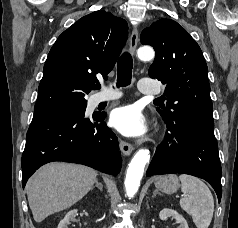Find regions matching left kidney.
<instances>
[{"label": "left kidney", "mask_w": 238, "mask_h": 228, "mask_svg": "<svg viewBox=\"0 0 238 228\" xmlns=\"http://www.w3.org/2000/svg\"><path fill=\"white\" fill-rule=\"evenodd\" d=\"M168 217L174 218L177 221V223H179L178 228H189L187 221L177 211H175L173 209H167V208L160 211L159 218L161 220H166Z\"/></svg>", "instance_id": "5707ae66"}]
</instances>
